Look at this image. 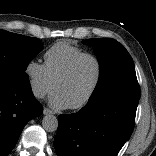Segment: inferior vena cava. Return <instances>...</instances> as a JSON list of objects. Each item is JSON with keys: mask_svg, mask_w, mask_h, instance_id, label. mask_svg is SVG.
I'll return each mask as SVG.
<instances>
[{"mask_svg": "<svg viewBox=\"0 0 156 156\" xmlns=\"http://www.w3.org/2000/svg\"><path fill=\"white\" fill-rule=\"evenodd\" d=\"M33 93L36 97H39V98H42L45 95V92L38 88H34Z\"/></svg>", "mask_w": 156, "mask_h": 156, "instance_id": "inferior-vena-cava-1", "label": "inferior vena cava"}]
</instances>
